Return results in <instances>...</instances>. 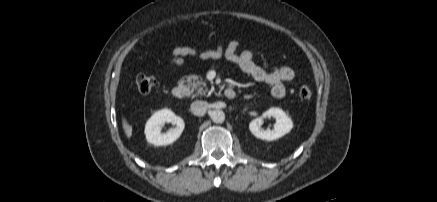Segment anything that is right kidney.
Wrapping results in <instances>:
<instances>
[{
	"label": "right kidney",
	"mask_w": 437,
	"mask_h": 202,
	"mask_svg": "<svg viewBox=\"0 0 437 202\" xmlns=\"http://www.w3.org/2000/svg\"><path fill=\"white\" fill-rule=\"evenodd\" d=\"M172 123L175 128L166 133H161V125ZM185 127L184 120L176 116L169 109H162L155 112L147 121L145 126V135L149 143L155 146L169 145L176 141L182 134Z\"/></svg>",
	"instance_id": "right-kidney-1"
}]
</instances>
